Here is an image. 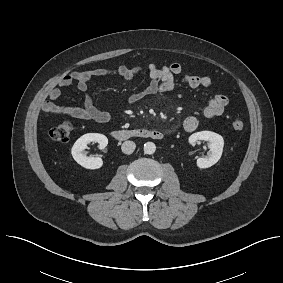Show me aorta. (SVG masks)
<instances>
[{
	"label": "aorta",
	"instance_id": "762f6f07",
	"mask_svg": "<svg viewBox=\"0 0 283 283\" xmlns=\"http://www.w3.org/2000/svg\"><path fill=\"white\" fill-rule=\"evenodd\" d=\"M156 151V146L153 142H147L144 144V152L146 154H153Z\"/></svg>",
	"mask_w": 283,
	"mask_h": 283
}]
</instances>
